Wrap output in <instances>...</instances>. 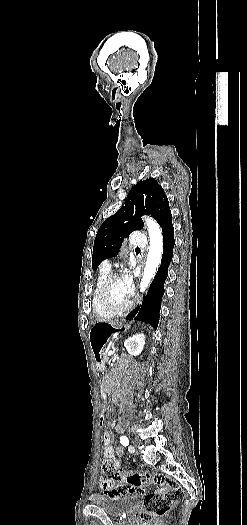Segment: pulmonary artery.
Returning a JSON list of instances; mask_svg holds the SVG:
<instances>
[{"label": "pulmonary artery", "instance_id": "e3ab8cb5", "mask_svg": "<svg viewBox=\"0 0 247 525\" xmlns=\"http://www.w3.org/2000/svg\"><path fill=\"white\" fill-rule=\"evenodd\" d=\"M126 241L130 247L144 246L146 244V237L145 236H129Z\"/></svg>", "mask_w": 247, "mask_h": 525}]
</instances>
